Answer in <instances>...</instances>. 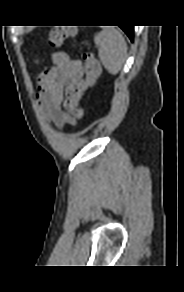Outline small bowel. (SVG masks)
<instances>
[{"label":"small bowel","instance_id":"obj_1","mask_svg":"<svg viewBox=\"0 0 184 292\" xmlns=\"http://www.w3.org/2000/svg\"><path fill=\"white\" fill-rule=\"evenodd\" d=\"M51 61L52 66L38 77V99L49 120L62 128L66 123L75 124L74 118L63 111L62 103L66 87L81 80L84 67L63 51L53 53Z\"/></svg>","mask_w":184,"mask_h":292}]
</instances>
